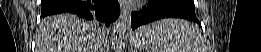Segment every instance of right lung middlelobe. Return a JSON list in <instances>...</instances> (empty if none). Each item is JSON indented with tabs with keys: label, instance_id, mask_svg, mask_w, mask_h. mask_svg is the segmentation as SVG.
I'll list each match as a JSON object with an SVG mask.
<instances>
[{
	"label": "right lung middle lobe",
	"instance_id": "1",
	"mask_svg": "<svg viewBox=\"0 0 261 52\" xmlns=\"http://www.w3.org/2000/svg\"><path fill=\"white\" fill-rule=\"evenodd\" d=\"M88 20H90L91 21V19H88ZM93 23H95L97 26H98V22H96V21H92Z\"/></svg>",
	"mask_w": 261,
	"mask_h": 52
}]
</instances>
